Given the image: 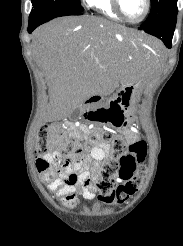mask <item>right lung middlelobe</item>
Returning a JSON list of instances; mask_svg holds the SVG:
<instances>
[{
  "label": "right lung middle lobe",
  "mask_w": 183,
  "mask_h": 246,
  "mask_svg": "<svg viewBox=\"0 0 183 246\" xmlns=\"http://www.w3.org/2000/svg\"><path fill=\"white\" fill-rule=\"evenodd\" d=\"M32 11L29 21L47 22L53 18L82 12L84 8L79 0H31Z\"/></svg>",
  "instance_id": "dd1d6c3e"
}]
</instances>
